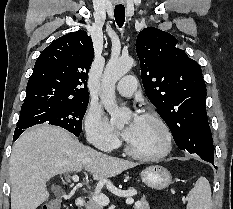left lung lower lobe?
<instances>
[{
    "label": "left lung lower lobe",
    "instance_id": "left-lung-lower-lobe-1",
    "mask_svg": "<svg viewBox=\"0 0 233 209\" xmlns=\"http://www.w3.org/2000/svg\"><path fill=\"white\" fill-rule=\"evenodd\" d=\"M203 160H205V161H208V162H210V163H213V161H214V158H209V157H204V158H202ZM215 167V166H214Z\"/></svg>",
    "mask_w": 233,
    "mask_h": 209
}]
</instances>
